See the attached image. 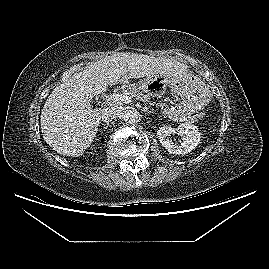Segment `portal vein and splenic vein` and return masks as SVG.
I'll use <instances>...</instances> for the list:
<instances>
[{"mask_svg": "<svg viewBox=\"0 0 269 269\" xmlns=\"http://www.w3.org/2000/svg\"><path fill=\"white\" fill-rule=\"evenodd\" d=\"M131 100H132V97L129 96L127 93H123V94L113 93L107 99V101L109 102H122V103H130Z\"/></svg>", "mask_w": 269, "mask_h": 269, "instance_id": "18ae733b", "label": "portal vein and splenic vein"}]
</instances>
